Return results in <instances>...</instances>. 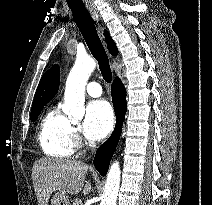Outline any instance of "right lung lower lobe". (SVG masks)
Returning a JSON list of instances; mask_svg holds the SVG:
<instances>
[{"instance_id": "obj_1", "label": "right lung lower lobe", "mask_w": 212, "mask_h": 205, "mask_svg": "<svg viewBox=\"0 0 212 205\" xmlns=\"http://www.w3.org/2000/svg\"><path fill=\"white\" fill-rule=\"evenodd\" d=\"M111 90L117 123L111 137L100 146L94 159V165L102 176H105L108 171L111 158L121 135L123 120L126 113V91L119 78L113 81Z\"/></svg>"}]
</instances>
